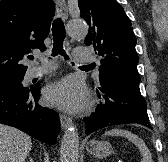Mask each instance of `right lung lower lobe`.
<instances>
[{"label": "right lung lower lobe", "instance_id": "right-lung-lower-lobe-1", "mask_svg": "<svg viewBox=\"0 0 168 162\" xmlns=\"http://www.w3.org/2000/svg\"><path fill=\"white\" fill-rule=\"evenodd\" d=\"M40 86L12 84L0 88V123L16 127L49 145L57 142L58 114L38 104Z\"/></svg>", "mask_w": 168, "mask_h": 162}]
</instances>
